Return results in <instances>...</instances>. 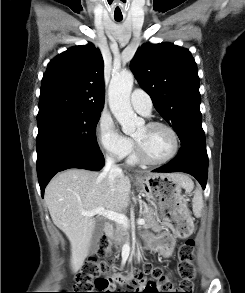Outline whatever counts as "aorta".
<instances>
[{
	"label": "aorta",
	"instance_id": "1",
	"mask_svg": "<svg viewBox=\"0 0 245 293\" xmlns=\"http://www.w3.org/2000/svg\"><path fill=\"white\" fill-rule=\"evenodd\" d=\"M133 81L134 76L131 72H120L112 77L108 89L111 112L127 135L133 134L137 126L143 122L136 116L130 104Z\"/></svg>",
	"mask_w": 245,
	"mask_h": 293
}]
</instances>
